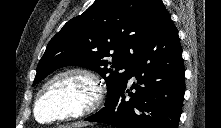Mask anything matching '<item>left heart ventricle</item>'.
<instances>
[{"mask_svg":"<svg viewBox=\"0 0 221 128\" xmlns=\"http://www.w3.org/2000/svg\"><path fill=\"white\" fill-rule=\"evenodd\" d=\"M86 85L73 77L54 83L38 107V117L47 120L68 109H77L86 98Z\"/></svg>","mask_w":221,"mask_h":128,"instance_id":"left-heart-ventricle-1","label":"left heart ventricle"}]
</instances>
